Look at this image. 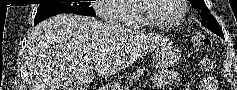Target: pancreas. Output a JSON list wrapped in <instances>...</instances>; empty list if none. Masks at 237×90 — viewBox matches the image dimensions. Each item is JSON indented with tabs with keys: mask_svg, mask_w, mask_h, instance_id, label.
Returning <instances> with one entry per match:
<instances>
[{
	"mask_svg": "<svg viewBox=\"0 0 237 90\" xmlns=\"http://www.w3.org/2000/svg\"><path fill=\"white\" fill-rule=\"evenodd\" d=\"M144 70H137V72H133L131 76H128L127 80L129 82H136V80H139L140 76H143Z\"/></svg>",
	"mask_w": 237,
	"mask_h": 90,
	"instance_id": "obj_1",
	"label": "pancreas"
}]
</instances>
